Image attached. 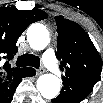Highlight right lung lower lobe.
Listing matches in <instances>:
<instances>
[{"label": "right lung lower lobe", "mask_w": 103, "mask_h": 103, "mask_svg": "<svg viewBox=\"0 0 103 103\" xmlns=\"http://www.w3.org/2000/svg\"><path fill=\"white\" fill-rule=\"evenodd\" d=\"M28 76L24 70L21 71L20 75L8 83L0 84V103H10L12 101L14 92L21 82L22 78Z\"/></svg>", "instance_id": "1"}]
</instances>
